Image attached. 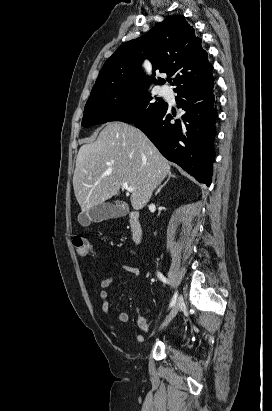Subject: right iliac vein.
<instances>
[{
	"mask_svg": "<svg viewBox=\"0 0 272 411\" xmlns=\"http://www.w3.org/2000/svg\"><path fill=\"white\" fill-rule=\"evenodd\" d=\"M182 305H183V299H182V297H179L177 302L175 303V305L171 309L169 315L166 317L164 322L159 327V330L163 329L165 326H167L169 324V322L176 316V314L178 313V311H179V309L181 308Z\"/></svg>",
	"mask_w": 272,
	"mask_h": 411,
	"instance_id": "63e3f726",
	"label": "right iliac vein"
}]
</instances>
